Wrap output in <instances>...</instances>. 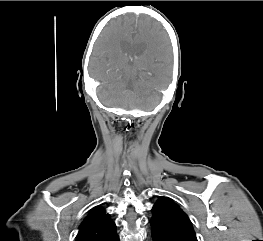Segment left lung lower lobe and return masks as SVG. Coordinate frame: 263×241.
Returning <instances> with one entry per match:
<instances>
[{
	"label": "left lung lower lobe",
	"mask_w": 263,
	"mask_h": 241,
	"mask_svg": "<svg viewBox=\"0 0 263 241\" xmlns=\"http://www.w3.org/2000/svg\"><path fill=\"white\" fill-rule=\"evenodd\" d=\"M150 225L153 241H187L185 237L176 234L157 222L150 221Z\"/></svg>",
	"instance_id": "0a47b994"
}]
</instances>
